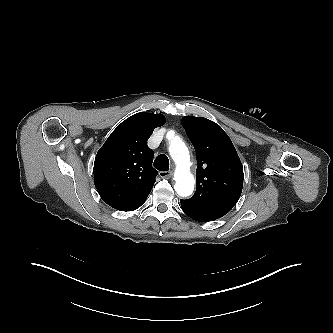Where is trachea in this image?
<instances>
[{"label":"trachea","instance_id":"3493384b","mask_svg":"<svg viewBox=\"0 0 333 333\" xmlns=\"http://www.w3.org/2000/svg\"><path fill=\"white\" fill-rule=\"evenodd\" d=\"M153 165L159 171H168L169 170V159L165 154H161L156 157Z\"/></svg>","mask_w":333,"mask_h":333}]
</instances>
